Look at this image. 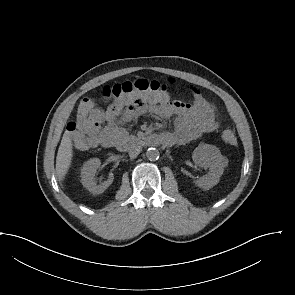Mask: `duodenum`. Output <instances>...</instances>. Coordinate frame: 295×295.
Instances as JSON below:
<instances>
[{
    "label": "duodenum",
    "instance_id": "410a0bca",
    "mask_svg": "<svg viewBox=\"0 0 295 295\" xmlns=\"http://www.w3.org/2000/svg\"><path fill=\"white\" fill-rule=\"evenodd\" d=\"M113 145L128 149L134 146L152 147L158 145H169V142L160 135H144L138 138H129L124 135L119 140L115 141Z\"/></svg>",
    "mask_w": 295,
    "mask_h": 295
}]
</instances>
